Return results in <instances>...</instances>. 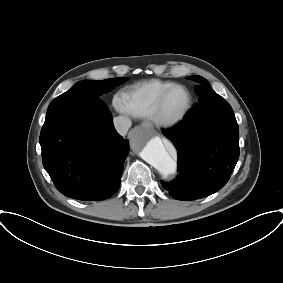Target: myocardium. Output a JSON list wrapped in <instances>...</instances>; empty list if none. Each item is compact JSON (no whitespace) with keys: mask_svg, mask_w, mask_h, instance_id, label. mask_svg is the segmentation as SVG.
<instances>
[{"mask_svg":"<svg viewBox=\"0 0 283 283\" xmlns=\"http://www.w3.org/2000/svg\"><path fill=\"white\" fill-rule=\"evenodd\" d=\"M177 89H182L187 93L188 96L187 104L179 114L174 116H167L163 111L164 102L168 97V95ZM192 107H193V95L191 91L184 85L173 84L172 86L164 90L158 97L151 118L153 122L161 128H165V129L174 128L186 119Z\"/></svg>","mask_w":283,"mask_h":283,"instance_id":"obj_1","label":"myocardium"}]
</instances>
